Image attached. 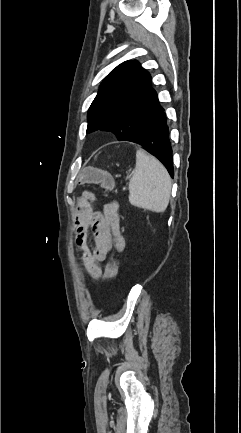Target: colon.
I'll return each mask as SVG.
<instances>
[{
    "label": "colon",
    "mask_w": 241,
    "mask_h": 433,
    "mask_svg": "<svg viewBox=\"0 0 241 433\" xmlns=\"http://www.w3.org/2000/svg\"><path fill=\"white\" fill-rule=\"evenodd\" d=\"M82 173V174H81ZM78 174V179L83 184H88L91 182V179L100 183L103 188H110L112 185V177L110 173L103 169H94V168H83L82 172ZM118 271V264L116 260H111L107 263L105 267L104 279L107 282H111L115 279ZM97 279V278H95Z\"/></svg>",
    "instance_id": "obj_1"
}]
</instances>
